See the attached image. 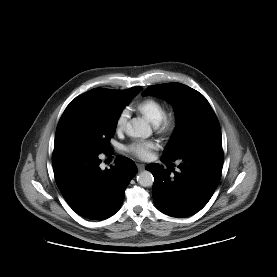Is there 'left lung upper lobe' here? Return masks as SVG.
Returning <instances> with one entry per match:
<instances>
[{"label": "left lung upper lobe", "instance_id": "left-lung-upper-lobe-1", "mask_svg": "<svg viewBox=\"0 0 277 277\" xmlns=\"http://www.w3.org/2000/svg\"><path fill=\"white\" fill-rule=\"evenodd\" d=\"M143 95H157L172 102L177 126L161 159L174 162L202 147L222 145L221 130L207 99L180 83L153 85Z\"/></svg>", "mask_w": 277, "mask_h": 277}]
</instances>
